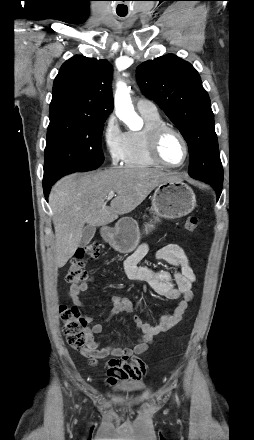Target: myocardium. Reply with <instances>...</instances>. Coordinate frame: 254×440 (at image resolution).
<instances>
[{
    "instance_id": "myocardium-1",
    "label": "myocardium",
    "mask_w": 254,
    "mask_h": 440,
    "mask_svg": "<svg viewBox=\"0 0 254 440\" xmlns=\"http://www.w3.org/2000/svg\"><path fill=\"white\" fill-rule=\"evenodd\" d=\"M167 133L175 134L183 144L185 154H184V159L180 164L177 165L169 164L161 156V152H160L161 141ZM148 151L150 157L154 162H156L161 167L171 168V169L182 167L187 162L190 154L189 145L183 133L177 128L168 124L159 125L150 131L148 138Z\"/></svg>"
}]
</instances>
